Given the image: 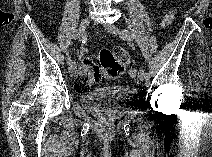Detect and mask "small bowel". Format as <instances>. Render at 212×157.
Returning <instances> with one entry per match:
<instances>
[{
	"label": "small bowel",
	"instance_id": "obj_1",
	"mask_svg": "<svg viewBox=\"0 0 212 157\" xmlns=\"http://www.w3.org/2000/svg\"><path fill=\"white\" fill-rule=\"evenodd\" d=\"M173 17H174L173 14L167 15V16L164 18L163 25H164V26H168V25L170 24V22L172 21ZM86 52H87L86 49H82V51H81L82 54H84V53H86ZM89 61H90V60H89L88 58H84V59L81 61L80 68H81V69L84 68V67L88 64ZM79 74H80V71H79V73H78V76H79Z\"/></svg>",
	"mask_w": 212,
	"mask_h": 157
}]
</instances>
